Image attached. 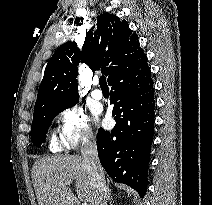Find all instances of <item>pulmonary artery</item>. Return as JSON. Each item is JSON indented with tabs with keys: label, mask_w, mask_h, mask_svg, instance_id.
<instances>
[{
	"label": "pulmonary artery",
	"mask_w": 212,
	"mask_h": 205,
	"mask_svg": "<svg viewBox=\"0 0 212 205\" xmlns=\"http://www.w3.org/2000/svg\"><path fill=\"white\" fill-rule=\"evenodd\" d=\"M93 85L94 86H97L98 85V80L97 79H94L93 80ZM91 96L96 99V100H101L103 98V93L100 89L98 88H95L92 90L91 92Z\"/></svg>",
	"instance_id": "e3ab8cb5"
}]
</instances>
